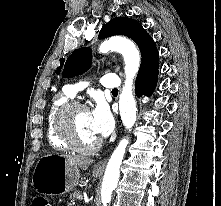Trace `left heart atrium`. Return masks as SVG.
<instances>
[{
    "label": "left heart atrium",
    "instance_id": "obj_1",
    "mask_svg": "<svg viewBox=\"0 0 221 206\" xmlns=\"http://www.w3.org/2000/svg\"><path fill=\"white\" fill-rule=\"evenodd\" d=\"M89 117L91 128L98 138L106 137L113 131L114 119L105 105L97 104L89 111Z\"/></svg>",
    "mask_w": 221,
    "mask_h": 206
}]
</instances>
